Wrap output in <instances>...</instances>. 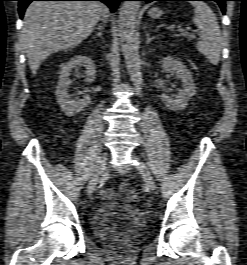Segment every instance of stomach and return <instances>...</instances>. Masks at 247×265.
Instances as JSON below:
<instances>
[{
    "instance_id": "obj_1",
    "label": "stomach",
    "mask_w": 247,
    "mask_h": 265,
    "mask_svg": "<svg viewBox=\"0 0 247 265\" xmlns=\"http://www.w3.org/2000/svg\"><path fill=\"white\" fill-rule=\"evenodd\" d=\"M148 14L151 18L157 19L161 17L163 12L159 8H152L148 11Z\"/></svg>"
}]
</instances>
